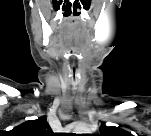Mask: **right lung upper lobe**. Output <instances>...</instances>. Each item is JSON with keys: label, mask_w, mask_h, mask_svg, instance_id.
Returning a JSON list of instances; mask_svg holds the SVG:
<instances>
[{"label": "right lung upper lobe", "mask_w": 151, "mask_h": 136, "mask_svg": "<svg viewBox=\"0 0 151 136\" xmlns=\"http://www.w3.org/2000/svg\"><path fill=\"white\" fill-rule=\"evenodd\" d=\"M50 130L46 117L42 116L16 126L12 132L19 136H49L51 135Z\"/></svg>", "instance_id": "cb5924a9"}]
</instances>
